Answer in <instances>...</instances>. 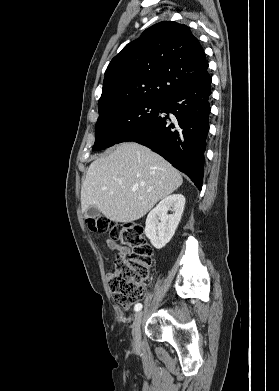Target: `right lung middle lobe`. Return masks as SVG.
<instances>
[{"label": "right lung middle lobe", "mask_w": 279, "mask_h": 391, "mask_svg": "<svg viewBox=\"0 0 279 391\" xmlns=\"http://www.w3.org/2000/svg\"><path fill=\"white\" fill-rule=\"evenodd\" d=\"M162 105V101L138 100L100 113L93 150L117 144L128 132L156 118Z\"/></svg>", "instance_id": "right-lung-middle-lobe-1"}]
</instances>
